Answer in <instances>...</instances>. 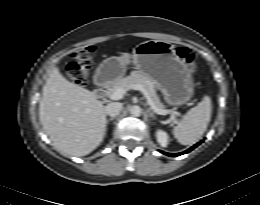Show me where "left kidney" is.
<instances>
[{
    "mask_svg": "<svg viewBox=\"0 0 260 205\" xmlns=\"http://www.w3.org/2000/svg\"><path fill=\"white\" fill-rule=\"evenodd\" d=\"M156 138L158 143L162 146V147H166L168 145L169 142V137L168 134L162 130H158L156 132Z\"/></svg>",
    "mask_w": 260,
    "mask_h": 205,
    "instance_id": "obj_1",
    "label": "left kidney"
}]
</instances>
